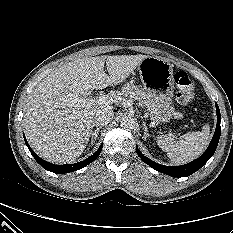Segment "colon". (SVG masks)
I'll return each instance as SVG.
<instances>
[{
    "mask_svg": "<svg viewBox=\"0 0 233 233\" xmlns=\"http://www.w3.org/2000/svg\"><path fill=\"white\" fill-rule=\"evenodd\" d=\"M176 99L182 106H188L194 98V83L187 73L179 71L174 76Z\"/></svg>",
    "mask_w": 233,
    "mask_h": 233,
    "instance_id": "5ec220e1",
    "label": "colon"
}]
</instances>
